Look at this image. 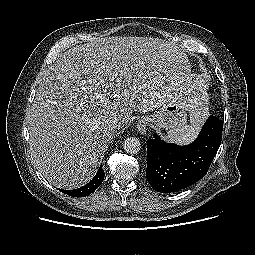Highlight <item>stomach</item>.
<instances>
[{"instance_id":"1","label":"stomach","mask_w":255,"mask_h":255,"mask_svg":"<svg viewBox=\"0 0 255 255\" xmlns=\"http://www.w3.org/2000/svg\"><path fill=\"white\" fill-rule=\"evenodd\" d=\"M151 122L159 128L176 130L186 126L187 113L184 101L173 96L150 118Z\"/></svg>"}]
</instances>
